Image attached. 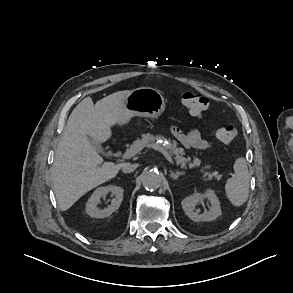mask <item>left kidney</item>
Masks as SVG:
<instances>
[{
  "mask_svg": "<svg viewBox=\"0 0 293 293\" xmlns=\"http://www.w3.org/2000/svg\"><path fill=\"white\" fill-rule=\"evenodd\" d=\"M204 200H207L209 210L200 213V210L196 209V206L203 204ZM181 204L185 214L195 222L213 221L221 215L220 202L215 192L211 189H208L205 194L194 193L184 198Z\"/></svg>",
  "mask_w": 293,
  "mask_h": 293,
  "instance_id": "1",
  "label": "left kidney"
}]
</instances>
